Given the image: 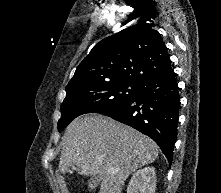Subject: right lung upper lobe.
Instances as JSON below:
<instances>
[{
	"mask_svg": "<svg viewBox=\"0 0 221 193\" xmlns=\"http://www.w3.org/2000/svg\"><path fill=\"white\" fill-rule=\"evenodd\" d=\"M153 25H134L97 43L79 64L66 89L142 83L173 71L165 43Z\"/></svg>",
	"mask_w": 221,
	"mask_h": 193,
	"instance_id": "1",
	"label": "right lung upper lobe"
}]
</instances>
